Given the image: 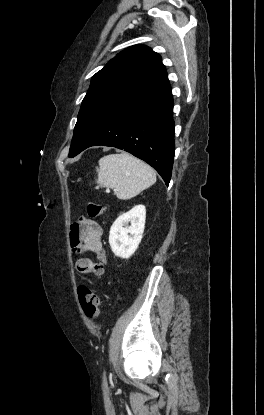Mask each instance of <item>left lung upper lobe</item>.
Segmentation results:
<instances>
[{"label":"left lung upper lobe","mask_w":264,"mask_h":415,"mask_svg":"<svg viewBox=\"0 0 264 415\" xmlns=\"http://www.w3.org/2000/svg\"><path fill=\"white\" fill-rule=\"evenodd\" d=\"M167 77L158 53L145 45L117 54L91 79L74 128L69 157H74L99 119L123 99Z\"/></svg>","instance_id":"5c2ea615"}]
</instances>
